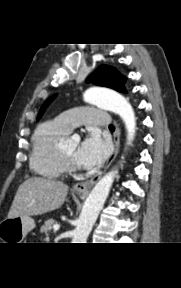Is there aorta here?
Returning a JSON list of instances; mask_svg holds the SVG:
<instances>
[{
    "label": "aorta",
    "instance_id": "1",
    "mask_svg": "<svg viewBox=\"0 0 181 288\" xmlns=\"http://www.w3.org/2000/svg\"><path fill=\"white\" fill-rule=\"evenodd\" d=\"M84 100L118 114L125 124L128 134L127 142L128 144L132 142L136 131V118L132 106L122 95L100 88H90L84 93ZM116 173L117 170L107 173L91 190L74 230L72 243H86L108 197Z\"/></svg>",
    "mask_w": 181,
    "mask_h": 288
}]
</instances>
